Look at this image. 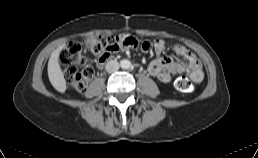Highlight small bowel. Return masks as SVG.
<instances>
[{"label":"small bowel","mask_w":258,"mask_h":158,"mask_svg":"<svg viewBox=\"0 0 258 158\" xmlns=\"http://www.w3.org/2000/svg\"><path fill=\"white\" fill-rule=\"evenodd\" d=\"M135 48L144 53L152 51L157 53V58L150 62L147 69L151 76L156 77L162 83L171 82L173 75L181 73H188L190 78L195 82H200L203 79L204 74L199 60L191 51L182 45H176L174 50L184 60L183 62H176L172 58L162 55L166 48V42L162 39H157L153 42L144 41ZM126 49L128 48H122L121 51ZM109 58L110 56L107 58H98L95 61V66L100 68Z\"/></svg>","instance_id":"c3829d8e"}]
</instances>
